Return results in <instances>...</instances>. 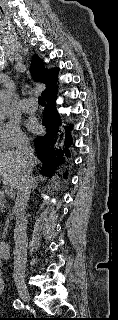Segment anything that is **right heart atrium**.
<instances>
[{"mask_svg":"<svg viewBox=\"0 0 118 320\" xmlns=\"http://www.w3.org/2000/svg\"><path fill=\"white\" fill-rule=\"evenodd\" d=\"M26 142L27 136L16 123L0 120V151L23 145Z\"/></svg>","mask_w":118,"mask_h":320,"instance_id":"d8ad5b80","label":"right heart atrium"}]
</instances>
